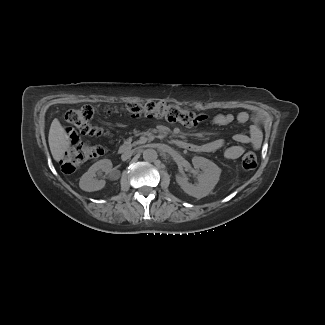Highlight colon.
Returning a JSON list of instances; mask_svg holds the SVG:
<instances>
[{"label":"colon","mask_w":325,"mask_h":325,"mask_svg":"<svg viewBox=\"0 0 325 325\" xmlns=\"http://www.w3.org/2000/svg\"><path fill=\"white\" fill-rule=\"evenodd\" d=\"M98 108L91 105L69 110L65 119L74 131L81 134L101 136L105 130L94 122ZM107 113H124L131 117H155L164 118L168 121L179 122L186 126H197L206 117L195 112L182 109L174 104L166 102L127 103L124 106L105 108ZM105 149L101 146H94L87 143H78L70 147L63 155L60 163L65 173H71L84 163L100 157ZM257 166V158L254 153L248 152L241 159V167L245 171H251Z\"/></svg>","instance_id":"5ec220e1"}]
</instances>
